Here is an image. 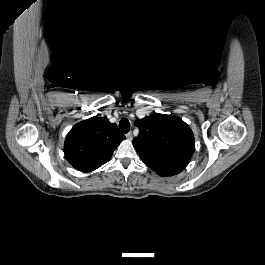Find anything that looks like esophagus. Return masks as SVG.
I'll list each match as a JSON object with an SVG mask.
<instances>
[{"mask_svg": "<svg viewBox=\"0 0 265 265\" xmlns=\"http://www.w3.org/2000/svg\"><path fill=\"white\" fill-rule=\"evenodd\" d=\"M126 138H127L128 140H132V133H131V132H128V133L126 134Z\"/></svg>", "mask_w": 265, "mask_h": 265, "instance_id": "1", "label": "esophagus"}]
</instances>
